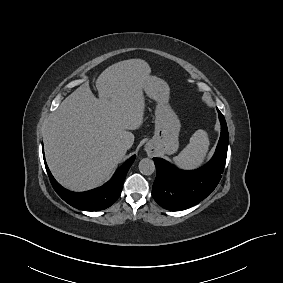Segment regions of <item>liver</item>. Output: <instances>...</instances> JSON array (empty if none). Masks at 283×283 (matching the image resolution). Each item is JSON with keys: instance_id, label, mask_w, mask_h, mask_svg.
<instances>
[{"instance_id": "obj_1", "label": "liver", "mask_w": 283, "mask_h": 283, "mask_svg": "<svg viewBox=\"0 0 283 283\" xmlns=\"http://www.w3.org/2000/svg\"><path fill=\"white\" fill-rule=\"evenodd\" d=\"M149 65L129 59L106 68L96 80L99 99L88 83L65 98L44 136L47 164L64 187L85 191L105 182L126 154L144 118L143 90L152 84Z\"/></svg>"}]
</instances>
